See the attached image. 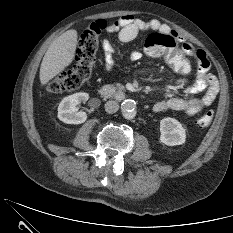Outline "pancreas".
Segmentation results:
<instances>
[{
    "label": "pancreas",
    "mask_w": 233,
    "mask_h": 233,
    "mask_svg": "<svg viewBox=\"0 0 233 233\" xmlns=\"http://www.w3.org/2000/svg\"><path fill=\"white\" fill-rule=\"evenodd\" d=\"M116 89H117V90H123V89H124V86H123L122 84L117 83V84H116Z\"/></svg>",
    "instance_id": "cf45deb5"
}]
</instances>
